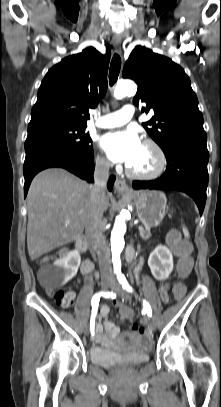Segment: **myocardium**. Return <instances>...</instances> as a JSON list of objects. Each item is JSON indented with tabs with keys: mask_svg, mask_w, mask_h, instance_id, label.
I'll list each match as a JSON object with an SVG mask.
<instances>
[{
	"mask_svg": "<svg viewBox=\"0 0 221 407\" xmlns=\"http://www.w3.org/2000/svg\"><path fill=\"white\" fill-rule=\"evenodd\" d=\"M142 144L150 146L155 150V152L157 153L158 158H159L158 167L156 168V170H154L153 172H150V173H138V172L132 170L130 168V166H127L126 172L130 177L139 179V180L157 179L160 176H162L164 174V172L166 171L167 164H168L167 155H166L164 149L161 147V145L152 139H145V140H143Z\"/></svg>",
	"mask_w": 221,
	"mask_h": 407,
	"instance_id": "obj_1",
	"label": "myocardium"
}]
</instances>
